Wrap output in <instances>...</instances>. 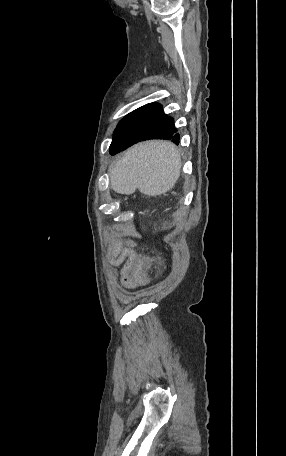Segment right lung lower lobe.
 I'll use <instances>...</instances> for the list:
<instances>
[{"label": "right lung lower lobe", "mask_w": 286, "mask_h": 456, "mask_svg": "<svg viewBox=\"0 0 286 456\" xmlns=\"http://www.w3.org/2000/svg\"><path fill=\"white\" fill-rule=\"evenodd\" d=\"M124 140L110 153L112 155L126 149L136 142L146 139H167L179 143L180 135L174 119L167 116L158 103H150L129 113L122 119Z\"/></svg>", "instance_id": "98d812e1"}]
</instances>
